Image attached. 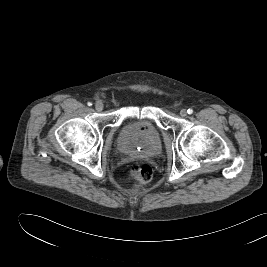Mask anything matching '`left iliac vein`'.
I'll return each mask as SVG.
<instances>
[{
    "instance_id": "4c4485c4",
    "label": "left iliac vein",
    "mask_w": 267,
    "mask_h": 267,
    "mask_svg": "<svg viewBox=\"0 0 267 267\" xmlns=\"http://www.w3.org/2000/svg\"><path fill=\"white\" fill-rule=\"evenodd\" d=\"M180 115H181L182 117H186V116H187V110H186V109H181V111H180Z\"/></svg>"
}]
</instances>
